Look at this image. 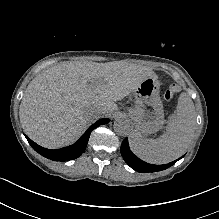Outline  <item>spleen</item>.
Here are the masks:
<instances>
[{"label":"spleen","mask_w":219,"mask_h":219,"mask_svg":"<svg viewBox=\"0 0 219 219\" xmlns=\"http://www.w3.org/2000/svg\"><path fill=\"white\" fill-rule=\"evenodd\" d=\"M196 126L195 106L187 93H181L174 116L166 132L158 139H144L133 131L130 148L140 159L152 164H166L183 155L190 146Z\"/></svg>","instance_id":"obj_1"}]
</instances>
